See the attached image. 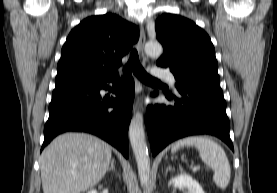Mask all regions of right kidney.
<instances>
[{"label": "right kidney", "mask_w": 277, "mask_h": 193, "mask_svg": "<svg viewBox=\"0 0 277 193\" xmlns=\"http://www.w3.org/2000/svg\"><path fill=\"white\" fill-rule=\"evenodd\" d=\"M87 193H98V192H97V190H90V191H88ZM102 193H108V190L105 189V190H103Z\"/></svg>", "instance_id": "ca27d5eb"}]
</instances>
